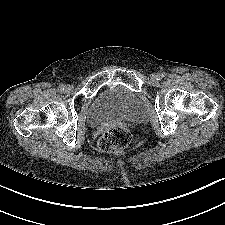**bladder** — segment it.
I'll return each instance as SVG.
<instances>
[{
	"label": "bladder",
	"mask_w": 225,
	"mask_h": 225,
	"mask_svg": "<svg viewBox=\"0 0 225 225\" xmlns=\"http://www.w3.org/2000/svg\"><path fill=\"white\" fill-rule=\"evenodd\" d=\"M145 119L146 109L139 97L122 86L101 93L87 113V121L92 126L116 120L142 123Z\"/></svg>",
	"instance_id": "1"
}]
</instances>
